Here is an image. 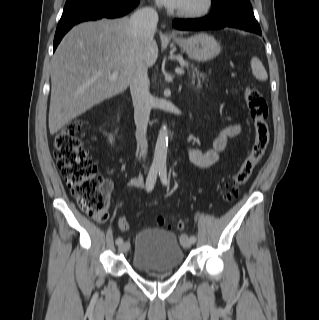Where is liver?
Listing matches in <instances>:
<instances>
[{
  "label": "liver",
  "instance_id": "obj_1",
  "mask_svg": "<svg viewBox=\"0 0 319 320\" xmlns=\"http://www.w3.org/2000/svg\"><path fill=\"white\" fill-rule=\"evenodd\" d=\"M156 41L140 42L130 19H102L73 27L53 57L49 131L57 133L94 105L124 92L138 64L153 66ZM117 71V77H109Z\"/></svg>",
  "mask_w": 319,
  "mask_h": 320
}]
</instances>
